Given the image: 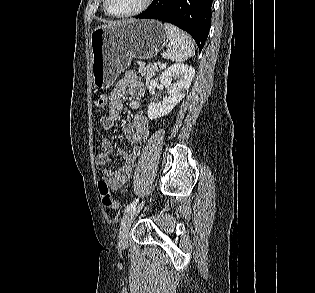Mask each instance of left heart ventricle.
<instances>
[{"label":"left heart ventricle","instance_id":"left-heart-ventricle-1","mask_svg":"<svg viewBox=\"0 0 315 293\" xmlns=\"http://www.w3.org/2000/svg\"><path fill=\"white\" fill-rule=\"evenodd\" d=\"M144 0H109V7L116 14H125L138 9Z\"/></svg>","mask_w":315,"mask_h":293}]
</instances>
